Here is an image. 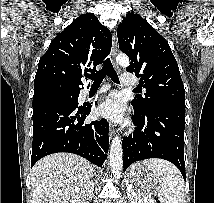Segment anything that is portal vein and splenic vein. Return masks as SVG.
Listing matches in <instances>:
<instances>
[{"label": "portal vein and splenic vein", "instance_id": "1", "mask_svg": "<svg viewBox=\"0 0 214 203\" xmlns=\"http://www.w3.org/2000/svg\"><path fill=\"white\" fill-rule=\"evenodd\" d=\"M127 190H128V192H131L133 189H132V187H128L127 188ZM146 201H148V200H150L149 198H148V196H146L145 198H144Z\"/></svg>", "mask_w": 214, "mask_h": 203}]
</instances>
